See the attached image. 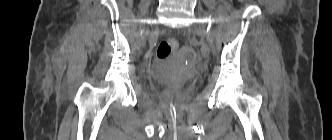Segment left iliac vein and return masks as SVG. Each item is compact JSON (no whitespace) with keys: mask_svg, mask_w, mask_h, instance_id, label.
Returning <instances> with one entry per match:
<instances>
[{"mask_svg":"<svg viewBox=\"0 0 332 140\" xmlns=\"http://www.w3.org/2000/svg\"><path fill=\"white\" fill-rule=\"evenodd\" d=\"M202 46H203V48L205 49V50H209V47H208V45L205 43V41L204 40H202Z\"/></svg>","mask_w":332,"mask_h":140,"instance_id":"1","label":"left iliac vein"}]
</instances>
